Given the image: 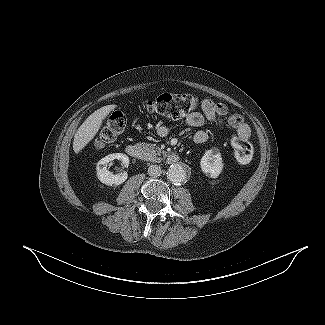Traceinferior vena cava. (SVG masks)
Instances as JSON below:
<instances>
[{"mask_svg":"<svg viewBox=\"0 0 325 325\" xmlns=\"http://www.w3.org/2000/svg\"><path fill=\"white\" fill-rule=\"evenodd\" d=\"M148 174L152 177H158L162 174V170L158 165H151L148 168Z\"/></svg>","mask_w":325,"mask_h":325,"instance_id":"602c4592","label":"inferior vena cava"}]
</instances>
